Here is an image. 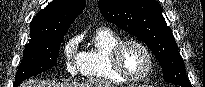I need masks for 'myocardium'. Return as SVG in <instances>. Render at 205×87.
Segmentation results:
<instances>
[{
	"label": "myocardium",
	"instance_id": "obj_1",
	"mask_svg": "<svg viewBox=\"0 0 205 87\" xmlns=\"http://www.w3.org/2000/svg\"><path fill=\"white\" fill-rule=\"evenodd\" d=\"M129 45H135L140 47L148 57V61H149L148 69L143 75L132 76L128 72H126L122 66L121 56L124 49ZM110 61L114 72L124 81L131 82V83H138L146 80L152 74L155 65L154 56L151 50L149 49V47L143 42L136 39H127L119 42L111 52Z\"/></svg>",
	"mask_w": 205,
	"mask_h": 87
}]
</instances>
